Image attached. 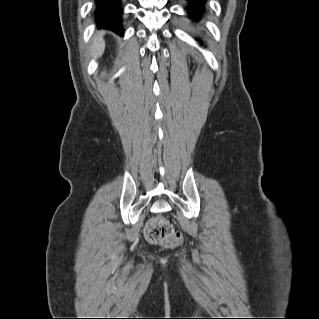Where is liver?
<instances>
[{
	"label": "liver",
	"instance_id": "obj_1",
	"mask_svg": "<svg viewBox=\"0 0 319 319\" xmlns=\"http://www.w3.org/2000/svg\"><path fill=\"white\" fill-rule=\"evenodd\" d=\"M103 34L104 32L98 33L93 40V44L91 46V56L94 58L99 57L104 52L105 42L103 40Z\"/></svg>",
	"mask_w": 319,
	"mask_h": 319
}]
</instances>
